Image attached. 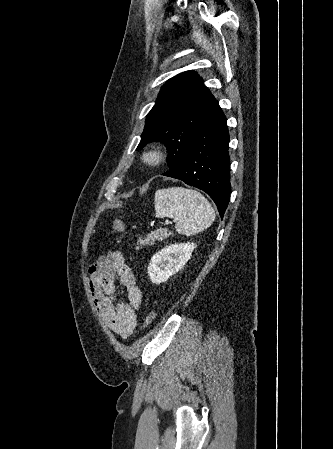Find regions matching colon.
<instances>
[{
    "label": "colon",
    "instance_id": "1",
    "mask_svg": "<svg viewBox=\"0 0 333 449\" xmlns=\"http://www.w3.org/2000/svg\"><path fill=\"white\" fill-rule=\"evenodd\" d=\"M113 228L116 232L123 233L125 231V224L121 219L115 218L113 220ZM158 312L156 308H152L145 316L143 326L148 328L155 322Z\"/></svg>",
    "mask_w": 333,
    "mask_h": 449
}]
</instances>
